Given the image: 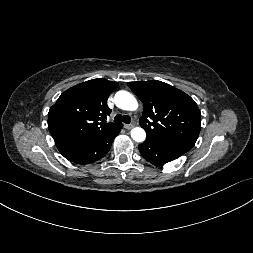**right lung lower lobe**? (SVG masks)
<instances>
[{
  "instance_id": "obj_1",
  "label": "right lung lower lobe",
  "mask_w": 253,
  "mask_h": 253,
  "mask_svg": "<svg viewBox=\"0 0 253 253\" xmlns=\"http://www.w3.org/2000/svg\"><path fill=\"white\" fill-rule=\"evenodd\" d=\"M121 128L122 124L111 132L100 135L88 142L74 146L62 152L61 154L69 161L77 164L93 163L106 155Z\"/></svg>"
}]
</instances>
